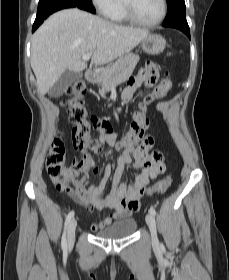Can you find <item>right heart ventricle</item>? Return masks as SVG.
<instances>
[{
	"instance_id": "1",
	"label": "right heart ventricle",
	"mask_w": 229,
	"mask_h": 280,
	"mask_svg": "<svg viewBox=\"0 0 229 280\" xmlns=\"http://www.w3.org/2000/svg\"><path fill=\"white\" fill-rule=\"evenodd\" d=\"M109 19H111L112 21H115V22H120V23L127 21V17L125 15V12L123 9L122 0H119L117 7L114 9L112 14L109 16Z\"/></svg>"
}]
</instances>
